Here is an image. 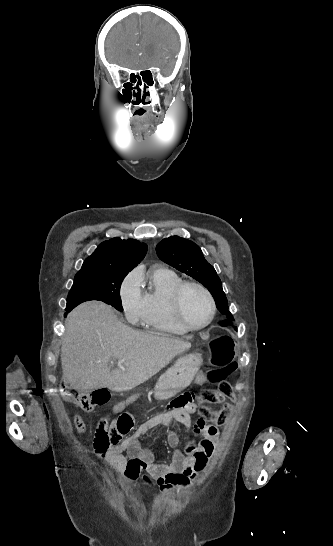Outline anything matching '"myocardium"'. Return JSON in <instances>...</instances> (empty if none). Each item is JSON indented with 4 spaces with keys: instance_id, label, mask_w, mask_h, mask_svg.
<instances>
[{
    "instance_id": "obj_1",
    "label": "myocardium",
    "mask_w": 333,
    "mask_h": 546,
    "mask_svg": "<svg viewBox=\"0 0 333 546\" xmlns=\"http://www.w3.org/2000/svg\"><path fill=\"white\" fill-rule=\"evenodd\" d=\"M189 287H195L201 290L208 299L210 305V316L203 324L193 325L186 319L184 315L182 307V297L185 290ZM171 306L175 318L177 319L179 324L188 331H197L209 326L213 322L217 311L216 302L211 291L206 286L196 281H183L182 283H180L172 293Z\"/></svg>"
}]
</instances>
